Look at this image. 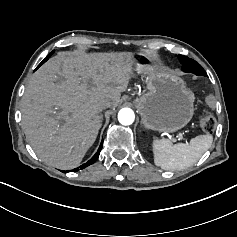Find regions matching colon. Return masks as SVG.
<instances>
[{"mask_svg": "<svg viewBox=\"0 0 237 237\" xmlns=\"http://www.w3.org/2000/svg\"><path fill=\"white\" fill-rule=\"evenodd\" d=\"M207 102L210 106H215L216 99L213 95H210ZM199 125L204 132H212L215 129L216 120L211 114L205 113L200 116Z\"/></svg>", "mask_w": 237, "mask_h": 237, "instance_id": "colon-1", "label": "colon"}]
</instances>
